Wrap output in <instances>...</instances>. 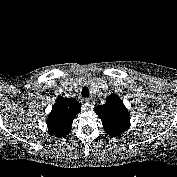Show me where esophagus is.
Instances as JSON below:
<instances>
[{
  "label": "esophagus",
  "instance_id": "34e87169",
  "mask_svg": "<svg viewBox=\"0 0 177 177\" xmlns=\"http://www.w3.org/2000/svg\"><path fill=\"white\" fill-rule=\"evenodd\" d=\"M85 107L92 108L94 106V102L91 98H87L84 103Z\"/></svg>",
  "mask_w": 177,
  "mask_h": 177
}]
</instances>
